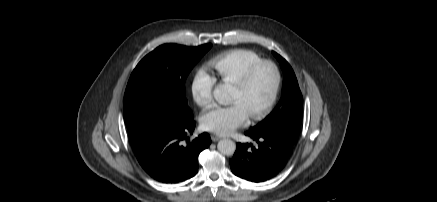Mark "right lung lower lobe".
Returning a JSON list of instances; mask_svg holds the SVG:
<instances>
[{"label":"right lung lower lobe","instance_id":"98d812e1","mask_svg":"<svg viewBox=\"0 0 437 202\" xmlns=\"http://www.w3.org/2000/svg\"><path fill=\"white\" fill-rule=\"evenodd\" d=\"M194 128L193 118L157 121L152 134L133 145L142 168L163 183H179L195 176L198 156L209 147L211 138L203 133L190 141L188 135L193 134Z\"/></svg>","mask_w":437,"mask_h":202}]
</instances>
